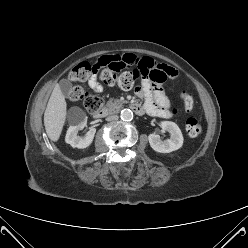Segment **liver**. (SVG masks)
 <instances>
[{
	"label": "liver",
	"instance_id": "obj_1",
	"mask_svg": "<svg viewBox=\"0 0 248 248\" xmlns=\"http://www.w3.org/2000/svg\"><path fill=\"white\" fill-rule=\"evenodd\" d=\"M66 114L67 103L59 84H56L44 113V126L51 141L56 142L59 140L65 124Z\"/></svg>",
	"mask_w": 248,
	"mask_h": 248
}]
</instances>
